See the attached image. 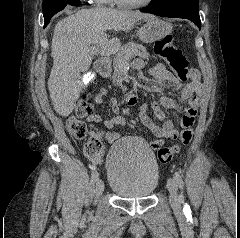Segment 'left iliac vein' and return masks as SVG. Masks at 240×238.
<instances>
[{"mask_svg": "<svg viewBox=\"0 0 240 238\" xmlns=\"http://www.w3.org/2000/svg\"><path fill=\"white\" fill-rule=\"evenodd\" d=\"M167 189L170 193V204L173 209L180 210L182 206V198L178 195V185L174 178H170L167 182Z\"/></svg>", "mask_w": 240, "mask_h": 238, "instance_id": "4c4485c4", "label": "left iliac vein"}]
</instances>
